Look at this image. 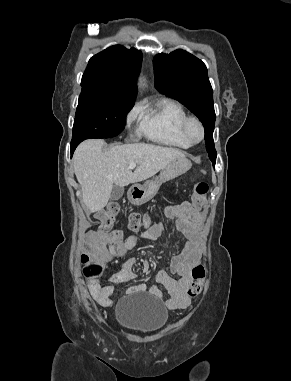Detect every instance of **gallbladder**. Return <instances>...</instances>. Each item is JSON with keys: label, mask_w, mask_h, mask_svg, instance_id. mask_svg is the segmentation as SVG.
<instances>
[{"label": "gallbladder", "mask_w": 291, "mask_h": 381, "mask_svg": "<svg viewBox=\"0 0 291 381\" xmlns=\"http://www.w3.org/2000/svg\"><path fill=\"white\" fill-rule=\"evenodd\" d=\"M123 193H124V188L121 186L115 185L112 189L110 198L112 200H119L123 196Z\"/></svg>", "instance_id": "1"}]
</instances>
